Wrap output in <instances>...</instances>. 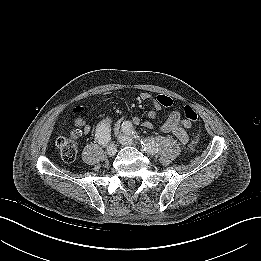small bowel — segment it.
Returning <instances> with one entry per match:
<instances>
[{
	"mask_svg": "<svg viewBox=\"0 0 261 261\" xmlns=\"http://www.w3.org/2000/svg\"><path fill=\"white\" fill-rule=\"evenodd\" d=\"M165 98V101L161 100L160 98H154L150 93L144 92L140 95V99L143 101H150L154 107V109L158 110L161 106H170V99L166 96H163ZM82 107H77L75 112L77 114L75 119V124L82 128L83 132L85 134L88 133L89 128L85 125L84 120L81 117L82 114ZM155 111L152 110L149 112V116L151 118L155 117ZM180 122V113L176 110H172L167 118V120L159 127V130L163 133H174V135L177 137V139L185 144L187 142V134L185 129H189L191 127V123L188 121L184 122V128L179 127ZM136 124H141L145 126L146 128L152 129L154 126L149 121H143L140 118H135Z\"/></svg>",
	"mask_w": 261,
	"mask_h": 261,
	"instance_id": "small-bowel-1",
	"label": "small bowel"
}]
</instances>
